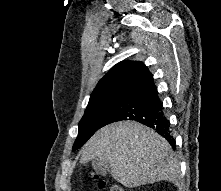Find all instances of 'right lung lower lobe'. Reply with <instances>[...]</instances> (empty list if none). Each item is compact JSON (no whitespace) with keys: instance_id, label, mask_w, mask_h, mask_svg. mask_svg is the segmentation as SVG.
Wrapping results in <instances>:
<instances>
[{"instance_id":"right-lung-lower-lobe-1","label":"right lung lower lobe","mask_w":221,"mask_h":191,"mask_svg":"<svg viewBox=\"0 0 221 191\" xmlns=\"http://www.w3.org/2000/svg\"><path fill=\"white\" fill-rule=\"evenodd\" d=\"M122 120H133L151 127L164 137L173 148L176 147L169 121L164 115L163 105L158 97L152 77L122 97L101 127Z\"/></svg>"}]
</instances>
